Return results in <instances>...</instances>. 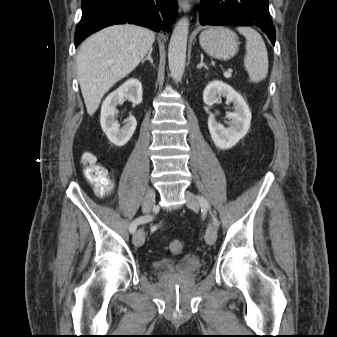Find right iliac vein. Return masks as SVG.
I'll list each match as a JSON object with an SVG mask.
<instances>
[{
	"mask_svg": "<svg viewBox=\"0 0 337 337\" xmlns=\"http://www.w3.org/2000/svg\"><path fill=\"white\" fill-rule=\"evenodd\" d=\"M155 206V192L153 188H149L145 194L142 211L145 214H149L153 207ZM145 241V234L142 229L137 230L133 235V243L137 247H141Z\"/></svg>",
	"mask_w": 337,
	"mask_h": 337,
	"instance_id": "right-iliac-vein-1",
	"label": "right iliac vein"
}]
</instances>
